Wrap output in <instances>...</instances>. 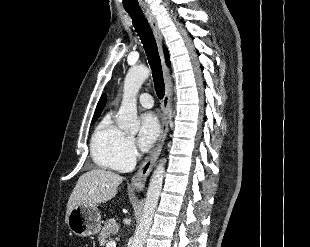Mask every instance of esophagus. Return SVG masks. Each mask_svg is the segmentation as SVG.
<instances>
[{"mask_svg": "<svg viewBox=\"0 0 310 247\" xmlns=\"http://www.w3.org/2000/svg\"><path fill=\"white\" fill-rule=\"evenodd\" d=\"M146 17L148 22L152 28L153 34L157 41L161 61H162V68H163V76L165 82V95L162 101V110H163V118H162V127H161V134L158 139V142L150 153V155L146 158L143 162L137 173L133 176L131 180L132 187L135 188L137 191H141L144 187V183L152 171L159 155L162 150V146L167 136L168 132V119H169V108H170V94H171V75L170 70L167 67L164 59V54L162 50V34L159 29L158 23L155 17L152 14L146 13Z\"/></svg>", "mask_w": 310, "mask_h": 247, "instance_id": "obj_1", "label": "esophagus"}]
</instances>
